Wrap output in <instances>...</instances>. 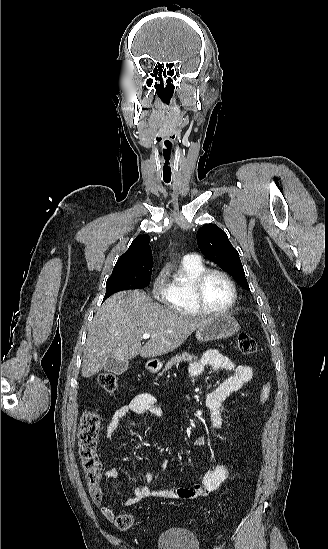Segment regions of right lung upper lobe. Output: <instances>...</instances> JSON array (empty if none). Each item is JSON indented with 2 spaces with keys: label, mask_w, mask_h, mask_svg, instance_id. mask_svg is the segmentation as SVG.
I'll use <instances>...</instances> for the list:
<instances>
[{
  "label": "right lung upper lobe",
  "mask_w": 328,
  "mask_h": 549,
  "mask_svg": "<svg viewBox=\"0 0 328 549\" xmlns=\"http://www.w3.org/2000/svg\"><path fill=\"white\" fill-rule=\"evenodd\" d=\"M149 243V235L144 234L137 236L131 243L129 249L118 259L113 271L140 261L152 259V251Z\"/></svg>",
  "instance_id": "1"
}]
</instances>
